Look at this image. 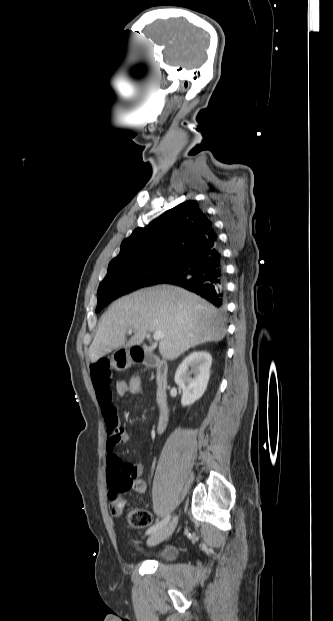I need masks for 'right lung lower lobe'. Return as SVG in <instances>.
<instances>
[{
  "label": "right lung lower lobe",
  "mask_w": 333,
  "mask_h": 621,
  "mask_svg": "<svg viewBox=\"0 0 333 621\" xmlns=\"http://www.w3.org/2000/svg\"><path fill=\"white\" fill-rule=\"evenodd\" d=\"M180 268L161 284L183 287L205 298L217 308L225 307L226 274L223 256L216 241L182 258Z\"/></svg>",
  "instance_id": "obj_1"
}]
</instances>
